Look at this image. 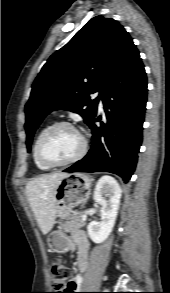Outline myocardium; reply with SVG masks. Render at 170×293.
<instances>
[{"label": "myocardium", "mask_w": 170, "mask_h": 293, "mask_svg": "<svg viewBox=\"0 0 170 293\" xmlns=\"http://www.w3.org/2000/svg\"><path fill=\"white\" fill-rule=\"evenodd\" d=\"M63 127L70 128L80 135V137L82 139V147H81V150L72 158L65 160V161H62V162H52V161L46 159L43 155V151H42L43 143L52 132H54L55 130H57L59 128H63ZM87 147H88L87 140L73 124H71L69 122H65V121L56 122V123L50 125L39 137L37 145H36V157L42 165L49 167V168H57V167H62V166L72 164V163L80 160L85 155V153L87 151Z\"/></svg>", "instance_id": "obj_1"}]
</instances>
